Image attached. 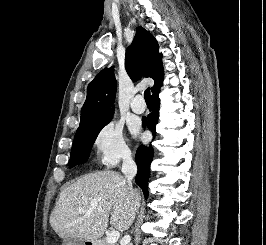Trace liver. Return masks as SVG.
I'll return each mask as SVG.
<instances>
[{
  "label": "liver",
  "mask_w": 266,
  "mask_h": 245,
  "mask_svg": "<svg viewBox=\"0 0 266 245\" xmlns=\"http://www.w3.org/2000/svg\"><path fill=\"white\" fill-rule=\"evenodd\" d=\"M133 191L132 197L126 179L116 171L83 175L62 189L49 223L61 239L97 241L103 237L109 217L113 229L127 231L141 205L138 189Z\"/></svg>",
  "instance_id": "obj_1"
}]
</instances>
